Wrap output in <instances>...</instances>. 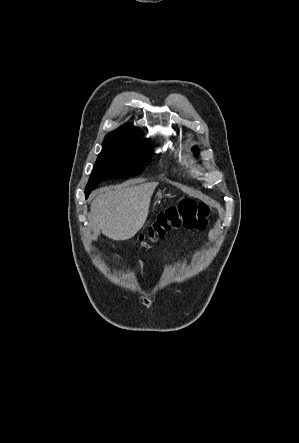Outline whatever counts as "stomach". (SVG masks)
<instances>
[{
    "label": "stomach",
    "instance_id": "0dacf381",
    "mask_svg": "<svg viewBox=\"0 0 299 443\" xmlns=\"http://www.w3.org/2000/svg\"><path fill=\"white\" fill-rule=\"evenodd\" d=\"M156 198H157V200L160 199V198H162V192H161V191H159V192L156 194Z\"/></svg>",
    "mask_w": 299,
    "mask_h": 443
}]
</instances>
